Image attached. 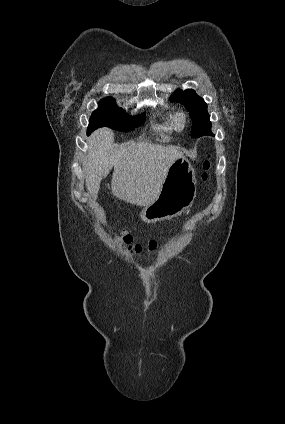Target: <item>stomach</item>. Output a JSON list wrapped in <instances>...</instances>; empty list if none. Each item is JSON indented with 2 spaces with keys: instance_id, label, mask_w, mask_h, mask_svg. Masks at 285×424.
<instances>
[{
  "instance_id": "stomach-1",
  "label": "stomach",
  "mask_w": 285,
  "mask_h": 424,
  "mask_svg": "<svg viewBox=\"0 0 285 424\" xmlns=\"http://www.w3.org/2000/svg\"><path fill=\"white\" fill-rule=\"evenodd\" d=\"M196 183L191 163L181 155L169 167L158 197L142 210L141 219L155 223L180 215L193 204Z\"/></svg>"
}]
</instances>
